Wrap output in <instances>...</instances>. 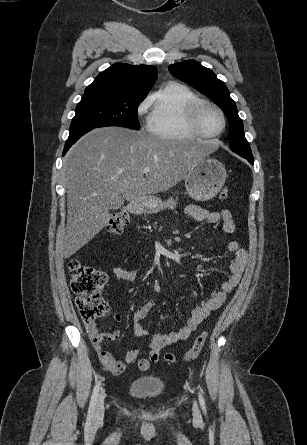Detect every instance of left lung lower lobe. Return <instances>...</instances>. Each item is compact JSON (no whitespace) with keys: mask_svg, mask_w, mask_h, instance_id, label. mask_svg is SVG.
Segmentation results:
<instances>
[{"mask_svg":"<svg viewBox=\"0 0 307 445\" xmlns=\"http://www.w3.org/2000/svg\"><path fill=\"white\" fill-rule=\"evenodd\" d=\"M238 155L242 156L243 158L247 159L252 165L253 163V156L248 154L239 153Z\"/></svg>","mask_w":307,"mask_h":445,"instance_id":"left-lung-lower-lobe-1","label":"left lung lower lobe"}]
</instances>
